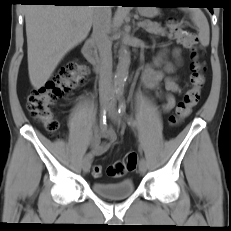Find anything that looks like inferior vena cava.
Wrapping results in <instances>:
<instances>
[{
    "label": "inferior vena cava",
    "mask_w": 231,
    "mask_h": 231,
    "mask_svg": "<svg viewBox=\"0 0 231 231\" xmlns=\"http://www.w3.org/2000/svg\"><path fill=\"white\" fill-rule=\"evenodd\" d=\"M110 6H95L93 14V38L96 41L100 56L99 91L101 94L111 93L112 84V41Z\"/></svg>",
    "instance_id": "obj_1"
}]
</instances>
